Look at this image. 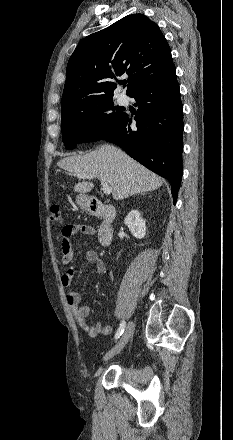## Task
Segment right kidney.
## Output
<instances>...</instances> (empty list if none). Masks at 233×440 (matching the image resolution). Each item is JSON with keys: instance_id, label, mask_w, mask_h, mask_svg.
<instances>
[{"instance_id": "obj_1", "label": "right kidney", "mask_w": 233, "mask_h": 440, "mask_svg": "<svg viewBox=\"0 0 233 440\" xmlns=\"http://www.w3.org/2000/svg\"><path fill=\"white\" fill-rule=\"evenodd\" d=\"M125 225L129 228L132 235L137 239H142L146 233L145 220L137 210L128 213L124 220Z\"/></svg>"}]
</instances>
